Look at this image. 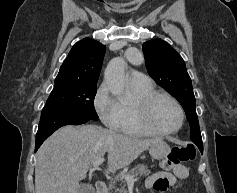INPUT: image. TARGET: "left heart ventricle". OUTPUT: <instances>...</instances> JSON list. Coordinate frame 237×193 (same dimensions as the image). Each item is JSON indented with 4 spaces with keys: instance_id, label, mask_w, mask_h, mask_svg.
Instances as JSON below:
<instances>
[{
    "instance_id": "b2bd125f",
    "label": "left heart ventricle",
    "mask_w": 237,
    "mask_h": 193,
    "mask_svg": "<svg viewBox=\"0 0 237 193\" xmlns=\"http://www.w3.org/2000/svg\"><path fill=\"white\" fill-rule=\"evenodd\" d=\"M148 122L158 130L168 131L179 125L180 114L172 101L159 98L151 107Z\"/></svg>"
}]
</instances>
